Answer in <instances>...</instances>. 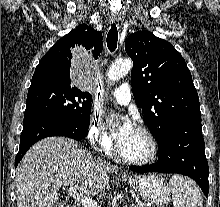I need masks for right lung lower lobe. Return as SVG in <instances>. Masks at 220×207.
<instances>
[{"mask_svg": "<svg viewBox=\"0 0 220 207\" xmlns=\"http://www.w3.org/2000/svg\"><path fill=\"white\" fill-rule=\"evenodd\" d=\"M88 126L89 123L46 114L35 113L24 117L20 148L15 158V167L26 151L37 141L50 136H65L81 140L88 134Z\"/></svg>", "mask_w": 220, "mask_h": 207, "instance_id": "right-lung-lower-lobe-1", "label": "right lung lower lobe"}]
</instances>
